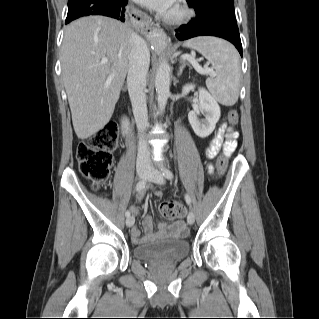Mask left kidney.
<instances>
[{"mask_svg": "<svg viewBox=\"0 0 319 319\" xmlns=\"http://www.w3.org/2000/svg\"><path fill=\"white\" fill-rule=\"evenodd\" d=\"M195 85L186 84L182 93L187 94L194 90ZM203 113L205 119H199L198 115ZM221 115L220 107L215 99L205 89L199 88V108L188 114L189 123L195 134L201 138L209 136L215 129Z\"/></svg>", "mask_w": 319, "mask_h": 319, "instance_id": "5707ae66", "label": "left kidney"}]
</instances>
